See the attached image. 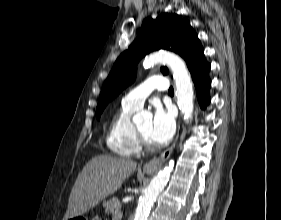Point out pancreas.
<instances>
[{
	"mask_svg": "<svg viewBox=\"0 0 281 220\" xmlns=\"http://www.w3.org/2000/svg\"><path fill=\"white\" fill-rule=\"evenodd\" d=\"M103 206L105 207V213L112 214L113 220H117L115 216V211H120L121 204L118 198H111L108 201H105ZM121 212V211H120Z\"/></svg>",
	"mask_w": 281,
	"mask_h": 220,
	"instance_id": "obj_1",
	"label": "pancreas"
}]
</instances>
